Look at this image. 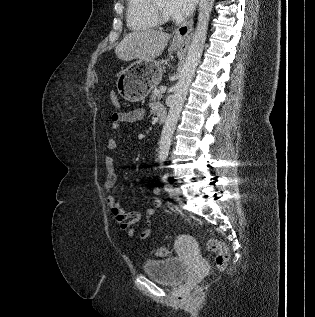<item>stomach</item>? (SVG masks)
<instances>
[{"label":"stomach","instance_id":"0dacf381","mask_svg":"<svg viewBox=\"0 0 315 317\" xmlns=\"http://www.w3.org/2000/svg\"><path fill=\"white\" fill-rule=\"evenodd\" d=\"M182 42L173 40L171 50H178ZM162 68L157 61L138 60L121 71L117 77L116 87L120 96L129 102L143 100L159 84Z\"/></svg>","mask_w":315,"mask_h":317}]
</instances>
